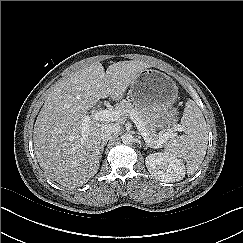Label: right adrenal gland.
Segmentation results:
<instances>
[{
	"label": "right adrenal gland",
	"mask_w": 243,
	"mask_h": 243,
	"mask_svg": "<svg viewBox=\"0 0 243 243\" xmlns=\"http://www.w3.org/2000/svg\"><path fill=\"white\" fill-rule=\"evenodd\" d=\"M106 144H107L106 141L101 143V145H100V147H99V150H100V152H99V158H102V154H103V151H104V146H105Z\"/></svg>",
	"instance_id": "1"
}]
</instances>
